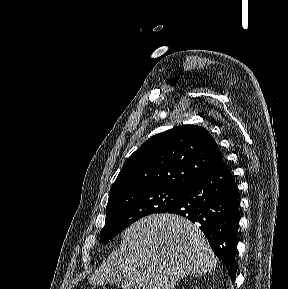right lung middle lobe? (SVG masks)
I'll list each match as a JSON object with an SVG mask.
<instances>
[{"mask_svg":"<svg viewBox=\"0 0 288 289\" xmlns=\"http://www.w3.org/2000/svg\"><path fill=\"white\" fill-rule=\"evenodd\" d=\"M185 188L159 187L133 189L109 196L106 207L105 226L100 240L107 244L136 220L153 214L164 213L182 198Z\"/></svg>","mask_w":288,"mask_h":289,"instance_id":"dd1d6c3e","label":"right lung middle lobe"}]
</instances>
